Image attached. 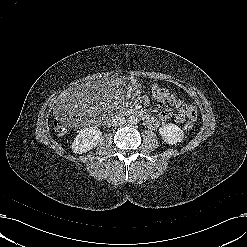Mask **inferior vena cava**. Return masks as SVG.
Returning a JSON list of instances; mask_svg holds the SVG:
<instances>
[{
    "label": "inferior vena cava",
    "instance_id": "602c4592",
    "mask_svg": "<svg viewBox=\"0 0 247 247\" xmlns=\"http://www.w3.org/2000/svg\"><path fill=\"white\" fill-rule=\"evenodd\" d=\"M126 123V119L120 115L115 116L114 119H112V126L117 127V126H122L123 124Z\"/></svg>",
    "mask_w": 247,
    "mask_h": 247
}]
</instances>
